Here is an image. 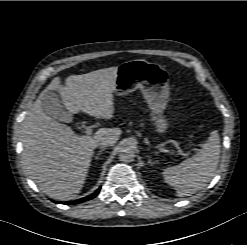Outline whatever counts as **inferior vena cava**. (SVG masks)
I'll return each mask as SVG.
<instances>
[{"label":"inferior vena cava","instance_id":"obj_1","mask_svg":"<svg viewBox=\"0 0 247 245\" xmlns=\"http://www.w3.org/2000/svg\"><path fill=\"white\" fill-rule=\"evenodd\" d=\"M99 145L102 149H105L106 147L111 146V142L109 140H102L99 142Z\"/></svg>","mask_w":247,"mask_h":245}]
</instances>
